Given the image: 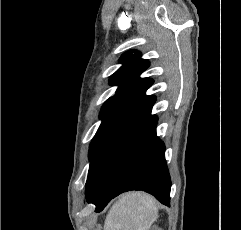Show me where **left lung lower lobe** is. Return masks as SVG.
<instances>
[{
	"mask_svg": "<svg viewBox=\"0 0 241 230\" xmlns=\"http://www.w3.org/2000/svg\"><path fill=\"white\" fill-rule=\"evenodd\" d=\"M156 100V99H155ZM154 102L95 153L86 182V199L101 212L122 192L144 190L169 205L171 180L165 145L156 136Z\"/></svg>",
	"mask_w": 241,
	"mask_h": 230,
	"instance_id": "1",
	"label": "left lung lower lobe"
}]
</instances>
